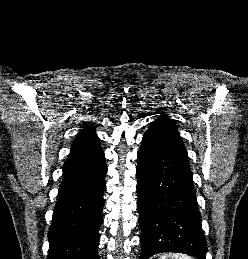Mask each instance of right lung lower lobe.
I'll list each match as a JSON object with an SVG mask.
<instances>
[{"mask_svg": "<svg viewBox=\"0 0 248 259\" xmlns=\"http://www.w3.org/2000/svg\"><path fill=\"white\" fill-rule=\"evenodd\" d=\"M107 167L102 151L63 166V181L49 228L47 259H98Z\"/></svg>", "mask_w": 248, "mask_h": 259, "instance_id": "98d812e1", "label": "right lung lower lobe"}]
</instances>
